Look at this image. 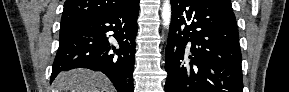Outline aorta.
I'll return each instance as SVG.
<instances>
[{
    "instance_id": "762f6f07",
    "label": "aorta",
    "mask_w": 289,
    "mask_h": 92,
    "mask_svg": "<svg viewBox=\"0 0 289 92\" xmlns=\"http://www.w3.org/2000/svg\"><path fill=\"white\" fill-rule=\"evenodd\" d=\"M161 15L164 26L168 28L171 22V15H172L171 4L169 0H164Z\"/></svg>"
}]
</instances>
